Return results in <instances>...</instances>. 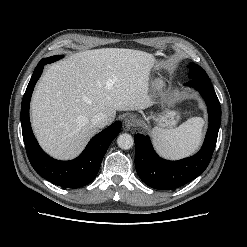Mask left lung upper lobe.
<instances>
[{
	"mask_svg": "<svg viewBox=\"0 0 247 247\" xmlns=\"http://www.w3.org/2000/svg\"><path fill=\"white\" fill-rule=\"evenodd\" d=\"M189 75L188 77L190 79H199L203 80L205 82H210V79L207 75V73L197 64L190 63L189 66Z\"/></svg>",
	"mask_w": 247,
	"mask_h": 247,
	"instance_id": "1",
	"label": "left lung upper lobe"
}]
</instances>
